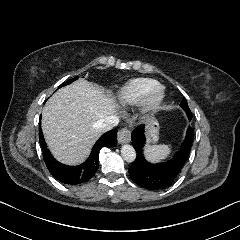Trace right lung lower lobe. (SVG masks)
Segmentation results:
<instances>
[{"label": "right lung lower lobe", "mask_w": 240, "mask_h": 240, "mask_svg": "<svg viewBox=\"0 0 240 240\" xmlns=\"http://www.w3.org/2000/svg\"><path fill=\"white\" fill-rule=\"evenodd\" d=\"M41 122V121H40ZM117 129H113L100 137L95 143L88 159L80 165L68 166L56 161L48 150L41 124H39V142L43 151L44 162L50 173L61 183L77 185L91 179L99 167V152L104 147H115L117 145Z\"/></svg>", "instance_id": "1"}]
</instances>
